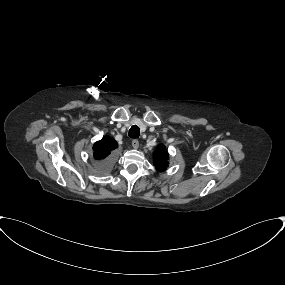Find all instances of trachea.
<instances>
[{
    "instance_id": "1",
    "label": "trachea",
    "mask_w": 285,
    "mask_h": 285,
    "mask_svg": "<svg viewBox=\"0 0 285 285\" xmlns=\"http://www.w3.org/2000/svg\"><path fill=\"white\" fill-rule=\"evenodd\" d=\"M129 137L136 139L139 137L140 135V129L138 126L134 125L130 128L129 133H128Z\"/></svg>"
}]
</instances>
